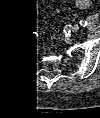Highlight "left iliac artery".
Returning a JSON list of instances; mask_svg holds the SVG:
<instances>
[{
  "instance_id": "obj_1",
  "label": "left iliac artery",
  "mask_w": 100,
  "mask_h": 118,
  "mask_svg": "<svg viewBox=\"0 0 100 118\" xmlns=\"http://www.w3.org/2000/svg\"><path fill=\"white\" fill-rule=\"evenodd\" d=\"M79 23L83 27L87 26V21H85V20H81Z\"/></svg>"
}]
</instances>
